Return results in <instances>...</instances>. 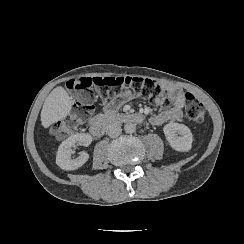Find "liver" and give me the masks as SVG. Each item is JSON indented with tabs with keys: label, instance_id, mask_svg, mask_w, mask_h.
I'll return each mask as SVG.
<instances>
[{
	"label": "liver",
	"instance_id": "liver-1",
	"mask_svg": "<svg viewBox=\"0 0 244 244\" xmlns=\"http://www.w3.org/2000/svg\"><path fill=\"white\" fill-rule=\"evenodd\" d=\"M72 100L67 91L58 86L45 99L41 110V123L44 128L64 119L71 111Z\"/></svg>",
	"mask_w": 244,
	"mask_h": 244
}]
</instances>
